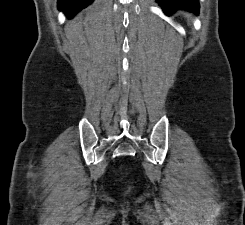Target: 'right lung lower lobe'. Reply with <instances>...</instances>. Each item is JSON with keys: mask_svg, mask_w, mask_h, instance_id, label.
I'll use <instances>...</instances> for the list:
<instances>
[{"mask_svg": "<svg viewBox=\"0 0 245 225\" xmlns=\"http://www.w3.org/2000/svg\"><path fill=\"white\" fill-rule=\"evenodd\" d=\"M93 0H58V8L71 19L81 9L91 4Z\"/></svg>", "mask_w": 245, "mask_h": 225, "instance_id": "1", "label": "right lung lower lobe"}]
</instances>
